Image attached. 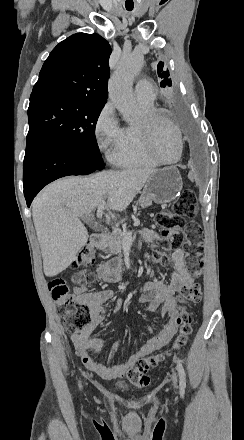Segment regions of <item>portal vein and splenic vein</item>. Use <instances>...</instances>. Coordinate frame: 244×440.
<instances>
[{"label":"portal vein and splenic vein","instance_id":"1","mask_svg":"<svg viewBox=\"0 0 244 440\" xmlns=\"http://www.w3.org/2000/svg\"><path fill=\"white\" fill-rule=\"evenodd\" d=\"M104 202H105V200H102V204H99V208H98L99 214H97L98 218H101V216H102V214H100V212H101V210H103V208H105Z\"/></svg>","mask_w":244,"mask_h":440}]
</instances>
